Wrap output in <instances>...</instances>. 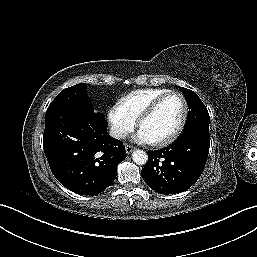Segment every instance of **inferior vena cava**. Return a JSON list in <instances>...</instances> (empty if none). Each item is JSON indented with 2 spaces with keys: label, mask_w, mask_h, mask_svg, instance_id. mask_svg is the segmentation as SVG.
<instances>
[{
  "label": "inferior vena cava",
  "mask_w": 257,
  "mask_h": 257,
  "mask_svg": "<svg viewBox=\"0 0 257 257\" xmlns=\"http://www.w3.org/2000/svg\"><path fill=\"white\" fill-rule=\"evenodd\" d=\"M109 135L116 139H125L128 133L121 128L111 127L109 131Z\"/></svg>",
  "instance_id": "1"
}]
</instances>
